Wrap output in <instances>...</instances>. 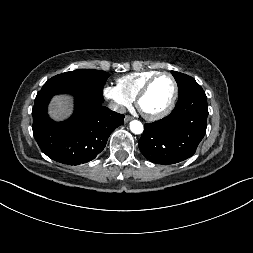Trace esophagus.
<instances>
[{
    "instance_id": "34e87169",
    "label": "esophagus",
    "mask_w": 253,
    "mask_h": 253,
    "mask_svg": "<svg viewBox=\"0 0 253 253\" xmlns=\"http://www.w3.org/2000/svg\"><path fill=\"white\" fill-rule=\"evenodd\" d=\"M133 118L129 115H126L124 118L125 123L129 122L130 120H132Z\"/></svg>"
}]
</instances>
